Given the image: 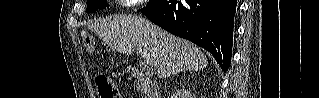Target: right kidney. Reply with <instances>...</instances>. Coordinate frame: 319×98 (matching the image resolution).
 Wrapping results in <instances>:
<instances>
[{
	"mask_svg": "<svg viewBox=\"0 0 319 98\" xmlns=\"http://www.w3.org/2000/svg\"><path fill=\"white\" fill-rule=\"evenodd\" d=\"M188 97H189V98L193 97V96L190 94V92L188 93Z\"/></svg>",
	"mask_w": 319,
	"mask_h": 98,
	"instance_id": "right-kidney-1",
	"label": "right kidney"
}]
</instances>
